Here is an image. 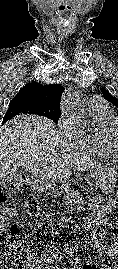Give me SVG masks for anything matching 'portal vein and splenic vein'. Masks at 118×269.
<instances>
[{
    "label": "portal vein and splenic vein",
    "instance_id": "obj_1",
    "mask_svg": "<svg viewBox=\"0 0 118 269\" xmlns=\"http://www.w3.org/2000/svg\"><path fill=\"white\" fill-rule=\"evenodd\" d=\"M40 172H41V171H40ZM52 175H53L52 172H49V173H48V176H49V177H51Z\"/></svg>",
    "mask_w": 118,
    "mask_h": 269
}]
</instances>
